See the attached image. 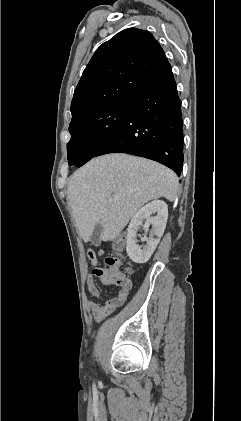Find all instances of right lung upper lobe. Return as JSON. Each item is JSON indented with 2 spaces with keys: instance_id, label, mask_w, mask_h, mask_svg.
I'll list each match as a JSON object with an SVG mask.
<instances>
[{
  "instance_id": "obj_1",
  "label": "right lung upper lobe",
  "mask_w": 241,
  "mask_h": 421,
  "mask_svg": "<svg viewBox=\"0 0 241 421\" xmlns=\"http://www.w3.org/2000/svg\"><path fill=\"white\" fill-rule=\"evenodd\" d=\"M168 62L159 42L141 29L129 28L94 53L74 91L72 120L110 104L129 100Z\"/></svg>"
}]
</instances>
